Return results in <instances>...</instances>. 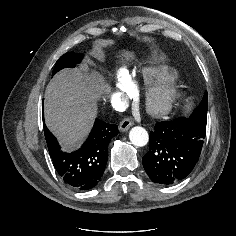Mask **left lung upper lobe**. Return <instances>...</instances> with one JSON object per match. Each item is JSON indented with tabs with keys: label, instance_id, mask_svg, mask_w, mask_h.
Wrapping results in <instances>:
<instances>
[{
	"label": "left lung upper lobe",
	"instance_id": "5c2ea615",
	"mask_svg": "<svg viewBox=\"0 0 236 236\" xmlns=\"http://www.w3.org/2000/svg\"><path fill=\"white\" fill-rule=\"evenodd\" d=\"M207 108H208V97H207V92H205L202 102L194 110V112L190 116V118H192L194 120H201L202 118H207Z\"/></svg>",
	"mask_w": 236,
	"mask_h": 236
}]
</instances>
